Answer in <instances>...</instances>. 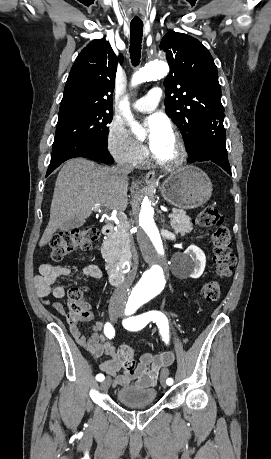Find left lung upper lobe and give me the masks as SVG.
Segmentation results:
<instances>
[{"mask_svg":"<svg viewBox=\"0 0 271 459\" xmlns=\"http://www.w3.org/2000/svg\"><path fill=\"white\" fill-rule=\"evenodd\" d=\"M160 48L170 66L164 82L166 113L180 128L192 157L199 150L198 134L224 120L217 68L204 45L186 34L168 32Z\"/></svg>","mask_w":271,"mask_h":459,"instance_id":"1","label":"left lung upper lobe"}]
</instances>
